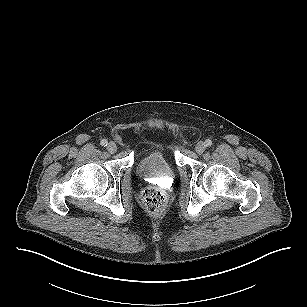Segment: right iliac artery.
Wrapping results in <instances>:
<instances>
[{
    "instance_id": "right-iliac-artery-1",
    "label": "right iliac artery",
    "mask_w": 307,
    "mask_h": 307,
    "mask_svg": "<svg viewBox=\"0 0 307 307\" xmlns=\"http://www.w3.org/2000/svg\"><path fill=\"white\" fill-rule=\"evenodd\" d=\"M100 144L102 145V146H107V144H108V141L106 140V139H103L101 142H100Z\"/></svg>"
}]
</instances>
